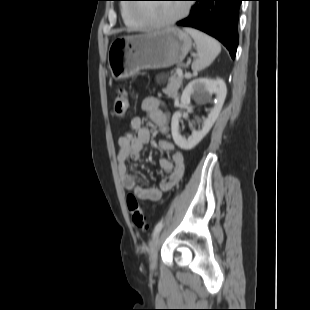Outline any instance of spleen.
Instances as JSON below:
<instances>
[{
  "instance_id": "spleen-1",
  "label": "spleen",
  "mask_w": 310,
  "mask_h": 310,
  "mask_svg": "<svg viewBox=\"0 0 310 310\" xmlns=\"http://www.w3.org/2000/svg\"><path fill=\"white\" fill-rule=\"evenodd\" d=\"M196 43L198 58L193 62L192 69L201 71L208 67L221 52V46L214 38L192 28H185Z\"/></svg>"
}]
</instances>
